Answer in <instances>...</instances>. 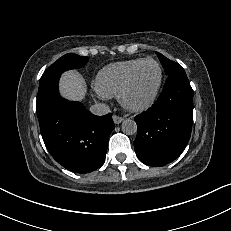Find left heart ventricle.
<instances>
[{"instance_id":"1","label":"left heart ventricle","mask_w":231,"mask_h":231,"mask_svg":"<svg viewBox=\"0 0 231 231\" xmlns=\"http://www.w3.org/2000/svg\"><path fill=\"white\" fill-rule=\"evenodd\" d=\"M158 78L159 70L154 63L148 62L142 65L137 71L128 93L129 102L140 104L146 101L154 91Z\"/></svg>"}]
</instances>
